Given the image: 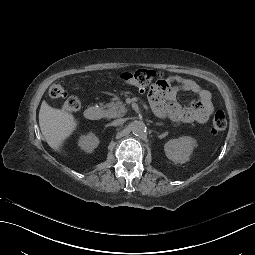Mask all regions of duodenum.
Returning <instances> with one entry per match:
<instances>
[{"mask_svg": "<svg viewBox=\"0 0 255 255\" xmlns=\"http://www.w3.org/2000/svg\"><path fill=\"white\" fill-rule=\"evenodd\" d=\"M155 114L160 117L168 116L167 112L163 108H154ZM104 116V111L98 106H90L85 110V117L88 120L96 121L102 119Z\"/></svg>", "mask_w": 255, "mask_h": 255, "instance_id": "1", "label": "duodenum"}]
</instances>
